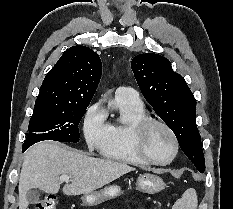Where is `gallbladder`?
I'll return each mask as SVG.
<instances>
[{"label": "gallbladder", "instance_id": "obj_1", "mask_svg": "<svg viewBox=\"0 0 233 209\" xmlns=\"http://www.w3.org/2000/svg\"><path fill=\"white\" fill-rule=\"evenodd\" d=\"M26 198L30 204H35L39 201L40 193L36 189H29Z\"/></svg>", "mask_w": 233, "mask_h": 209}]
</instances>
